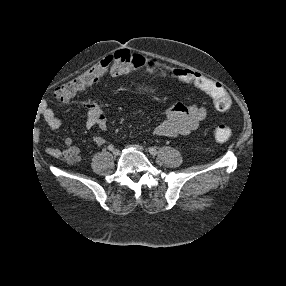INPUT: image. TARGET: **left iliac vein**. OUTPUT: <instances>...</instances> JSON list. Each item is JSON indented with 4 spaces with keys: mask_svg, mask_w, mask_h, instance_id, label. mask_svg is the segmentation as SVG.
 Listing matches in <instances>:
<instances>
[{
    "mask_svg": "<svg viewBox=\"0 0 286 286\" xmlns=\"http://www.w3.org/2000/svg\"><path fill=\"white\" fill-rule=\"evenodd\" d=\"M127 147H133V148H135V149H137L138 151H141V152L145 151L144 147L141 146V145H138V144L128 145Z\"/></svg>",
    "mask_w": 286,
    "mask_h": 286,
    "instance_id": "1",
    "label": "left iliac vein"
}]
</instances>
